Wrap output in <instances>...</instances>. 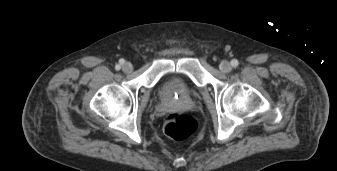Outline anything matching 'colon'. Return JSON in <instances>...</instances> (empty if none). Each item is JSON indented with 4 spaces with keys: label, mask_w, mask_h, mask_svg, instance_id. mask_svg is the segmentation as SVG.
I'll return each instance as SVG.
<instances>
[{
    "label": "colon",
    "mask_w": 337,
    "mask_h": 171,
    "mask_svg": "<svg viewBox=\"0 0 337 171\" xmlns=\"http://www.w3.org/2000/svg\"><path fill=\"white\" fill-rule=\"evenodd\" d=\"M198 128L194 117L186 113H170L163 120L164 133L174 140H184L192 136Z\"/></svg>",
    "instance_id": "1"
}]
</instances>
